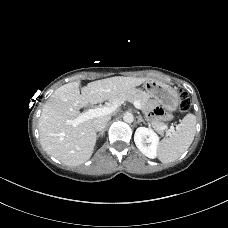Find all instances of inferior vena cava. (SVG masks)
<instances>
[{
    "label": "inferior vena cava",
    "mask_w": 228,
    "mask_h": 228,
    "mask_svg": "<svg viewBox=\"0 0 228 228\" xmlns=\"http://www.w3.org/2000/svg\"><path fill=\"white\" fill-rule=\"evenodd\" d=\"M110 117L107 118H101V119H96L93 123L94 129L96 131H102L106 127V124L110 120Z\"/></svg>",
    "instance_id": "1"
}]
</instances>
